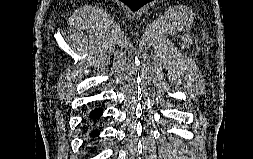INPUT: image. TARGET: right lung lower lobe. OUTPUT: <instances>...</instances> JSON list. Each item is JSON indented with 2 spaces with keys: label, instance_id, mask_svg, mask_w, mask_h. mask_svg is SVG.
<instances>
[{
  "label": "right lung lower lobe",
  "instance_id": "right-lung-lower-lobe-1",
  "mask_svg": "<svg viewBox=\"0 0 253 159\" xmlns=\"http://www.w3.org/2000/svg\"><path fill=\"white\" fill-rule=\"evenodd\" d=\"M100 115H102V110H101V109H96V110H94V111H92V112L90 113V116H91L93 119L98 118ZM96 134H98V130L93 131L91 135H96Z\"/></svg>",
  "mask_w": 253,
  "mask_h": 159
}]
</instances>
